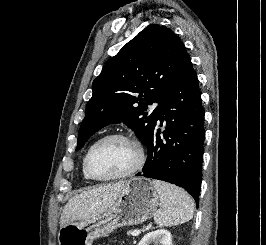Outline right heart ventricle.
<instances>
[{"mask_svg":"<svg viewBox=\"0 0 266 245\" xmlns=\"http://www.w3.org/2000/svg\"><path fill=\"white\" fill-rule=\"evenodd\" d=\"M84 160H85V156L83 157L82 162H81V174H82V177H83L86 181H94V180H92V179L88 176V174H87V172H86V170H85V163H84Z\"/></svg>","mask_w":266,"mask_h":245,"instance_id":"e07e8e85","label":"right heart ventricle"}]
</instances>
